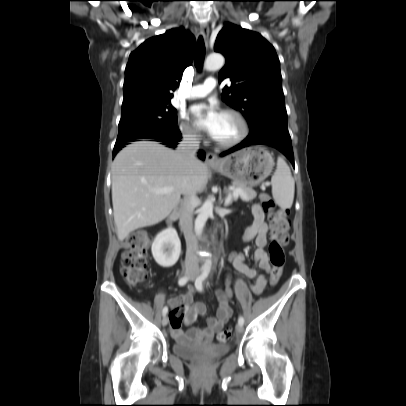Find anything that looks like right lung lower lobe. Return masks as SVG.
I'll use <instances>...</instances> for the list:
<instances>
[{"mask_svg": "<svg viewBox=\"0 0 406 406\" xmlns=\"http://www.w3.org/2000/svg\"><path fill=\"white\" fill-rule=\"evenodd\" d=\"M137 139H153L154 141L161 142L162 144L166 145L167 147L170 148H175L178 142L181 139V133L179 132L178 129L175 131L165 134V135H158V136H152V137H144V138H135V139H129L126 141H116V144L114 146L113 150V156H115L121 148L125 147V145L128 144V142L132 141H137ZM198 157L202 160L205 158V153L203 151H200L198 153Z\"/></svg>", "mask_w": 406, "mask_h": 406, "instance_id": "1", "label": "right lung lower lobe"}]
</instances>
